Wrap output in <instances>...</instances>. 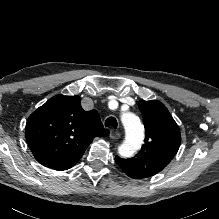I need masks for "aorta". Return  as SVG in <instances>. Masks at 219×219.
<instances>
[{"label": "aorta", "mask_w": 219, "mask_h": 219, "mask_svg": "<svg viewBox=\"0 0 219 219\" xmlns=\"http://www.w3.org/2000/svg\"><path fill=\"white\" fill-rule=\"evenodd\" d=\"M122 122L126 130V139L119 147V153L123 157H130L138 151L144 140V127L139 119L133 113H125L122 116Z\"/></svg>", "instance_id": "762f6f07"}]
</instances>
